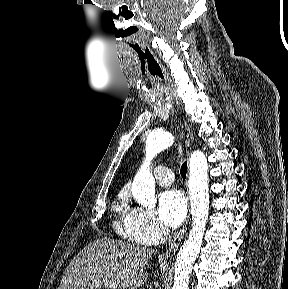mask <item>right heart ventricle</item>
Wrapping results in <instances>:
<instances>
[{"label": "right heart ventricle", "mask_w": 288, "mask_h": 289, "mask_svg": "<svg viewBox=\"0 0 288 289\" xmlns=\"http://www.w3.org/2000/svg\"><path fill=\"white\" fill-rule=\"evenodd\" d=\"M115 210L119 218L123 220V224L120 223V221L116 222V228L117 230L124 234V220L128 214V195L125 191H121L117 197ZM126 236V235H125Z\"/></svg>", "instance_id": "1"}]
</instances>
